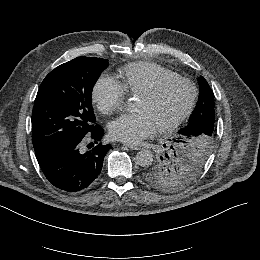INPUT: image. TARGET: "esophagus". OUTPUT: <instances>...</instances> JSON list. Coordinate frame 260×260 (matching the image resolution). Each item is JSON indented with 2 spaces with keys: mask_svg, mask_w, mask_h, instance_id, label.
<instances>
[{
  "mask_svg": "<svg viewBox=\"0 0 260 260\" xmlns=\"http://www.w3.org/2000/svg\"><path fill=\"white\" fill-rule=\"evenodd\" d=\"M124 145L130 149H133V150H140L141 147L139 145H135V144H132V143H124Z\"/></svg>",
  "mask_w": 260,
  "mask_h": 260,
  "instance_id": "1",
  "label": "esophagus"
}]
</instances>
